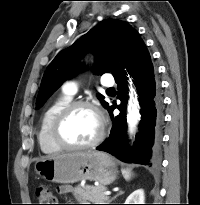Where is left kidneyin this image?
<instances>
[{"label":"left kidney","mask_w":200,"mask_h":205,"mask_svg":"<svg viewBox=\"0 0 200 205\" xmlns=\"http://www.w3.org/2000/svg\"><path fill=\"white\" fill-rule=\"evenodd\" d=\"M145 194L143 189H137L126 199L125 204H144Z\"/></svg>","instance_id":"5707ae66"}]
</instances>
